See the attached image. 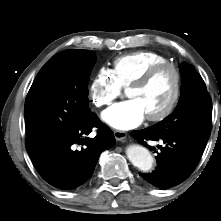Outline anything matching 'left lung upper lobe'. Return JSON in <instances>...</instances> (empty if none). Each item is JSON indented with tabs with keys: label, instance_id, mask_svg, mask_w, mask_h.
I'll list each match as a JSON object with an SVG mask.
<instances>
[{
	"label": "left lung upper lobe",
	"instance_id": "left-lung-upper-lobe-1",
	"mask_svg": "<svg viewBox=\"0 0 221 221\" xmlns=\"http://www.w3.org/2000/svg\"><path fill=\"white\" fill-rule=\"evenodd\" d=\"M181 96L174 112L152 127L167 135H189L208 141L212 127V101L194 67L181 64Z\"/></svg>",
	"mask_w": 221,
	"mask_h": 221
}]
</instances>
